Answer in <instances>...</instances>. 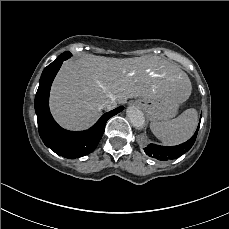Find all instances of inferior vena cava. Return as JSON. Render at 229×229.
<instances>
[{
    "instance_id": "obj_1",
    "label": "inferior vena cava",
    "mask_w": 229,
    "mask_h": 229,
    "mask_svg": "<svg viewBox=\"0 0 229 229\" xmlns=\"http://www.w3.org/2000/svg\"><path fill=\"white\" fill-rule=\"evenodd\" d=\"M116 105L117 103H115L114 101H106L103 105V108L112 109L116 107Z\"/></svg>"
}]
</instances>
